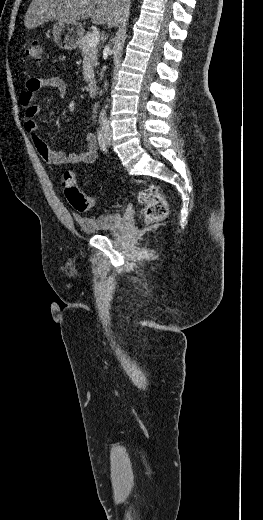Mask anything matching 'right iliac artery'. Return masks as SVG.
<instances>
[{
	"label": "right iliac artery",
	"mask_w": 263,
	"mask_h": 520,
	"mask_svg": "<svg viewBox=\"0 0 263 520\" xmlns=\"http://www.w3.org/2000/svg\"><path fill=\"white\" fill-rule=\"evenodd\" d=\"M97 137H98V144L100 146V149L103 151V152H107V149H106V140L104 138V135L102 133V130H98V133H97Z\"/></svg>",
	"instance_id": "1"
}]
</instances>
